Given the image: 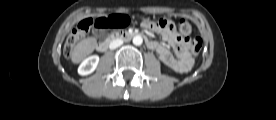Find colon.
Masks as SVG:
<instances>
[{
  "instance_id": "5ec220e1",
  "label": "colon",
  "mask_w": 276,
  "mask_h": 120,
  "mask_svg": "<svg viewBox=\"0 0 276 120\" xmlns=\"http://www.w3.org/2000/svg\"><path fill=\"white\" fill-rule=\"evenodd\" d=\"M126 24L127 19L121 16L100 18L96 21H93L89 18L83 19L77 24V26L72 30L71 34L68 36L67 41L65 43V53L69 54L71 49L76 45L79 38L84 33H86L92 25H94L96 29L102 31L108 28L124 27ZM172 24V21L169 19H160L158 21V25L162 28L169 27ZM179 31L185 37H188L190 35L192 27L188 20L181 19L179 21ZM190 47L192 54L196 57L199 56L203 48L202 39L198 37L191 38Z\"/></svg>"
}]
</instances>
